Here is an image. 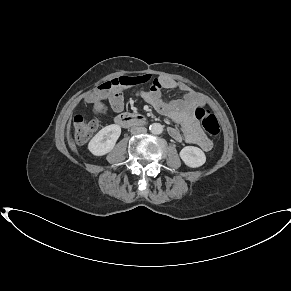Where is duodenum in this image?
<instances>
[{
  "label": "duodenum",
  "mask_w": 291,
  "mask_h": 291,
  "mask_svg": "<svg viewBox=\"0 0 291 291\" xmlns=\"http://www.w3.org/2000/svg\"><path fill=\"white\" fill-rule=\"evenodd\" d=\"M115 122L123 128H128L145 125L146 118L140 114L122 113L116 116Z\"/></svg>",
  "instance_id": "410a0bca"
}]
</instances>
